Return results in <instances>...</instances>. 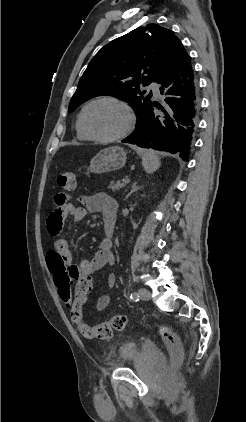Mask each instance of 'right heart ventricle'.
I'll return each instance as SVG.
<instances>
[{
	"label": "right heart ventricle",
	"mask_w": 246,
	"mask_h": 422,
	"mask_svg": "<svg viewBox=\"0 0 246 422\" xmlns=\"http://www.w3.org/2000/svg\"><path fill=\"white\" fill-rule=\"evenodd\" d=\"M75 129H76V135H77L79 140H82V141L90 140L87 137V135L84 133V131L82 130V127H81V124H80V115L78 116V118L76 120Z\"/></svg>",
	"instance_id": "1"
}]
</instances>
